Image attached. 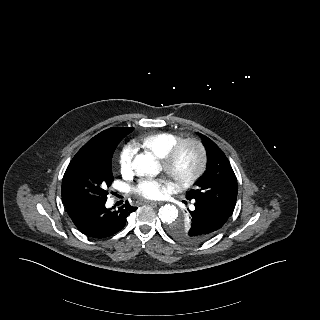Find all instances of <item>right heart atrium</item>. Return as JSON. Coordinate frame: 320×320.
<instances>
[{"instance_id":"obj_1","label":"right heart atrium","mask_w":320,"mask_h":320,"mask_svg":"<svg viewBox=\"0 0 320 320\" xmlns=\"http://www.w3.org/2000/svg\"><path fill=\"white\" fill-rule=\"evenodd\" d=\"M135 154V149L131 144L123 147L119 155V166L122 173H129L132 170V160Z\"/></svg>"}]
</instances>
